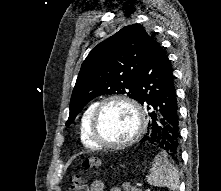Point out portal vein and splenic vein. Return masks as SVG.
I'll list each match as a JSON object with an SVG mask.
<instances>
[{"instance_id": "1", "label": "portal vein and splenic vein", "mask_w": 221, "mask_h": 191, "mask_svg": "<svg viewBox=\"0 0 221 191\" xmlns=\"http://www.w3.org/2000/svg\"><path fill=\"white\" fill-rule=\"evenodd\" d=\"M142 185H143V183H142V182L137 183V186H138V187H142Z\"/></svg>"}]
</instances>
